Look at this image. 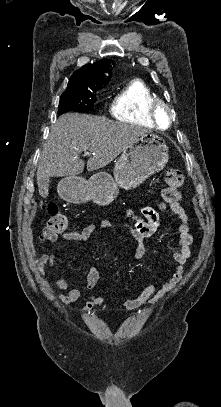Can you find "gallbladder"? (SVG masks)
I'll use <instances>...</instances> for the list:
<instances>
[{
    "instance_id": "1",
    "label": "gallbladder",
    "mask_w": 221,
    "mask_h": 407,
    "mask_svg": "<svg viewBox=\"0 0 221 407\" xmlns=\"http://www.w3.org/2000/svg\"><path fill=\"white\" fill-rule=\"evenodd\" d=\"M49 178H43L38 182V187H39V193L42 195L46 194L48 185H49Z\"/></svg>"
}]
</instances>
